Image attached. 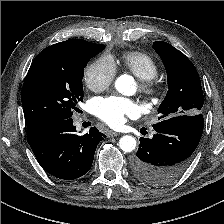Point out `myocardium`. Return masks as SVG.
I'll return each instance as SVG.
<instances>
[{
    "label": "myocardium",
    "mask_w": 224,
    "mask_h": 224,
    "mask_svg": "<svg viewBox=\"0 0 224 224\" xmlns=\"http://www.w3.org/2000/svg\"><path fill=\"white\" fill-rule=\"evenodd\" d=\"M139 89L150 102L160 97L164 91L162 83L155 78L149 80H140Z\"/></svg>",
    "instance_id": "myocardium-1"
}]
</instances>
